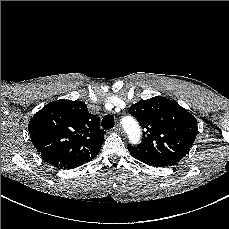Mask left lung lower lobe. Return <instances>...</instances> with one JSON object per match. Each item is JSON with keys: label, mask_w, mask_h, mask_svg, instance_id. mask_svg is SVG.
<instances>
[{"label": "left lung lower lobe", "mask_w": 229, "mask_h": 229, "mask_svg": "<svg viewBox=\"0 0 229 229\" xmlns=\"http://www.w3.org/2000/svg\"><path fill=\"white\" fill-rule=\"evenodd\" d=\"M153 167H164V166H169L171 164H154V163H145Z\"/></svg>", "instance_id": "1"}]
</instances>
